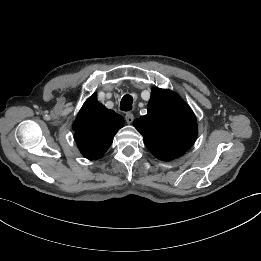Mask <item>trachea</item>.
Here are the masks:
<instances>
[{
	"label": "trachea",
	"mask_w": 261,
	"mask_h": 261,
	"mask_svg": "<svg viewBox=\"0 0 261 261\" xmlns=\"http://www.w3.org/2000/svg\"><path fill=\"white\" fill-rule=\"evenodd\" d=\"M133 98L131 95H125L121 99L120 109L122 111H130L132 109Z\"/></svg>",
	"instance_id": "3493384b"
}]
</instances>
